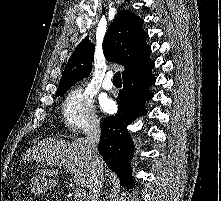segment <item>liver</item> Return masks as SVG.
I'll return each instance as SVG.
<instances>
[{
	"instance_id": "6515ba94",
	"label": "liver",
	"mask_w": 221,
	"mask_h": 201,
	"mask_svg": "<svg viewBox=\"0 0 221 201\" xmlns=\"http://www.w3.org/2000/svg\"><path fill=\"white\" fill-rule=\"evenodd\" d=\"M24 162H45L50 169L40 170V174L51 177L57 176L59 171L54 166L72 168L74 182L88 188L91 176V164L87 148V141L78 138L74 142L60 139H43L37 146L30 148L23 156ZM102 167L104 161L101 158ZM54 182V180H52Z\"/></svg>"
}]
</instances>
